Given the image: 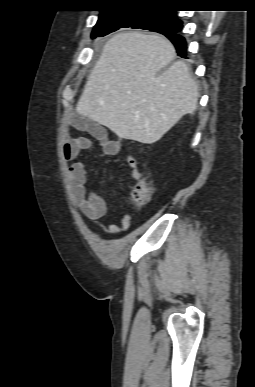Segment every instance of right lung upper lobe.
<instances>
[{
    "label": "right lung upper lobe",
    "instance_id": "cb5924a9",
    "mask_svg": "<svg viewBox=\"0 0 255 387\" xmlns=\"http://www.w3.org/2000/svg\"><path fill=\"white\" fill-rule=\"evenodd\" d=\"M109 1H112L111 5L107 9L101 10V13L126 12V11H133L136 9H145L143 11H154L157 9H165V8H162V7H165L164 4H166L164 3V1H169V0H109Z\"/></svg>",
    "mask_w": 255,
    "mask_h": 387
}]
</instances>
